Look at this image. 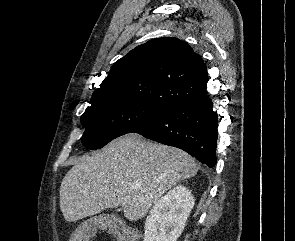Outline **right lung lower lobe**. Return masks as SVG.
<instances>
[{
	"label": "right lung lower lobe",
	"mask_w": 295,
	"mask_h": 241,
	"mask_svg": "<svg viewBox=\"0 0 295 241\" xmlns=\"http://www.w3.org/2000/svg\"><path fill=\"white\" fill-rule=\"evenodd\" d=\"M217 128L218 115L206 92L167 107L129 133L178 147L212 168L216 164Z\"/></svg>",
	"instance_id": "1"
}]
</instances>
